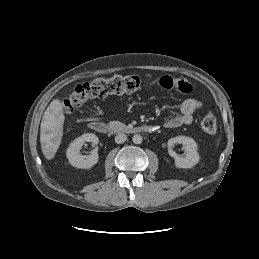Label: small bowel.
Instances as JSON below:
<instances>
[{
	"label": "small bowel",
	"mask_w": 259,
	"mask_h": 259,
	"mask_svg": "<svg viewBox=\"0 0 259 259\" xmlns=\"http://www.w3.org/2000/svg\"><path fill=\"white\" fill-rule=\"evenodd\" d=\"M202 107L201 102L194 98H186L180 105V113L169 118L164 126L168 129L178 128L180 126L191 125L193 123V115Z\"/></svg>",
	"instance_id": "c3829d8e"
}]
</instances>
